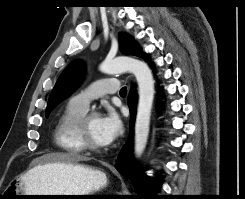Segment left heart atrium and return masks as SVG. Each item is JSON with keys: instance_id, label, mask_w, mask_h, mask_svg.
<instances>
[{"instance_id": "left-heart-atrium-1", "label": "left heart atrium", "mask_w": 245, "mask_h": 199, "mask_svg": "<svg viewBox=\"0 0 245 199\" xmlns=\"http://www.w3.org/2000/svg\"><path fill=\"white\" fill-rule=\"evenodd\" d=\"M98 131L104 145L115 141L123 132V123L118 113L112 108L98 117Z\"/></svg>"}]
</instances>
